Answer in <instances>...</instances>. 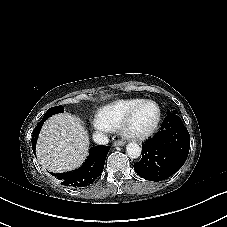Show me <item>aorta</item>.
<instances>
[{
  "mask_svg": "<svg viewBox=\"0 0 227 227\" xmlns=\"http://www.w3.org/2000/svg\"><path fill=\"white\" fill-rule=\"evenodd\" d=\"M141 147L135 142H131L126 147V152L131 159H137L141 155Z\"/></svg>",
  "mask_w": 227,
  "mask_h": 227,
  "instance_id": "obj_1",
  "label": "aorta"
}]
</instances>
